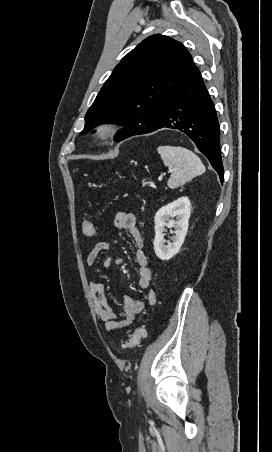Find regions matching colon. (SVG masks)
<instances>
[{
	"mask_svg": "<svg viewBox=\"0 0 272 452\" xmlns=\"http://www.w3.org/2000/svg\"><path fill=\"white\" fill-rule=\"evenodd\" d=\"M83 233L87 236H93L95 234V225L91 220H84L82 222ZM146 335V331L143 326H138L135 331L126 339L122 348L125 350H131L140 345L143 338Z\"/></svg>",
	"mask_w": 272,
	"mask_h": 452,
	"instance_id": "1",
	"label": "colon"
}]
</instances>
